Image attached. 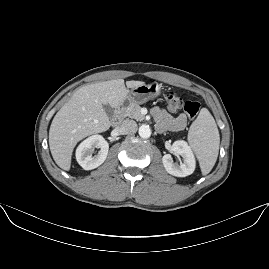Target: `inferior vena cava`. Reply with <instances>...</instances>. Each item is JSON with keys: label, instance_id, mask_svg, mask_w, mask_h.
<instances>
[{"label": "inferior vena cava", "instance_id": "inferior-vena-cava-1", "mask_svg": "<svg viewBox=\"0 0 269 269\" xmlns=\"http://www.w3.org/2000/svg\"><path fill=\"white\" fill-rule=\"evenodd\" d=\"M120 131L122 134H131L137 131V124L133 120H124L120 125Z\"/></svg>", "mask_w": 269, "mask_h": 269}]
</instances>
